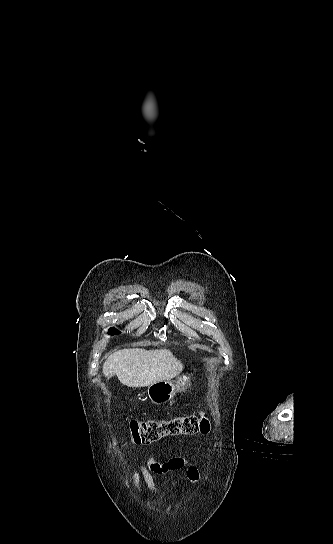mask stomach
<instances>
[{
    "label": "stomach",
    "mask_w": 333,
    "mask_h": 544,
    "mask_svg": "<svg viewBox=\"0 0 333 544\" xmlns=\"http://www.w3.org/2000/svg\"><path fill=\"white\" fill-rule=\"evenodd\" d=\"M191 374L186 373L176 381L162 380L148 386L147 394L151 402L160 405L170 401L176 392L186 390L190 385Z\"/></svg>",
    "instance_id": "1"
}]
</instances>
